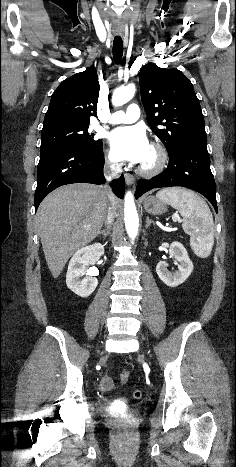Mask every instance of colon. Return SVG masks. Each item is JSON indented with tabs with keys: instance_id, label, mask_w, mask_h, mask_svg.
I'll return each mask as SVG.
<instances>
[{
	"instance_id": "1",
	"label": "colon",
	"mask_w": 236,
	"mask_h": 467,
	"mask_svg": "<svg viewBox=\"0 0 236 467\" xmlns=\"http://www.w3.org/2000/svg\"><path fill=\"white\" fill-rule=\"evenodd\" d=\"M133 396H134V398H136V399H140V398H142L143 393H142L141 390H135V391L133 392Z\"/></svg>"
}]
</instances>
